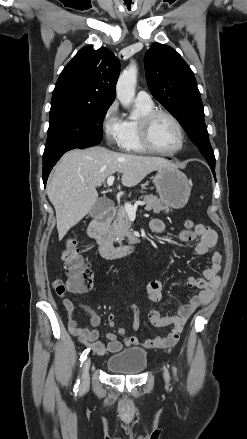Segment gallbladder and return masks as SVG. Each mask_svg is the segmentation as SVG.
I'll list each match as a JSON object with an SVG mask.
<instances>
[{
  "label": "gallbladder",
  "mask_w": 247,
  "mask_h": 439,
  "mask_svg": "<svg viewBox=\"0 0 247 439\" xmlns=\"http://www.w3.org/2000/svg\"><path fill=\"white\" fill-rule=\"evenodd\" d=\"M106 209L105 199L100 198L94 204L93 208L90 211V216L96 217L100 215Z\"/></svg>",
  "instance_id": "bac80fb5"
}]
</instances>
